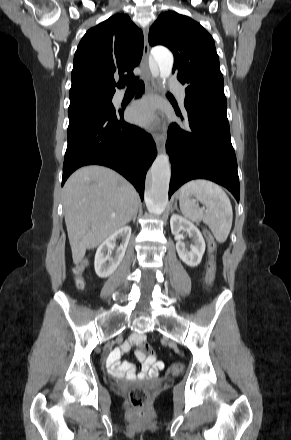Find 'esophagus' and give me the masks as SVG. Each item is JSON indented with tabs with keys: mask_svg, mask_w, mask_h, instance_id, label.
Segmentation results:
<instances>
[{
	"mask_svg": "<svg viewBox=\"0 0 291 440\" xmlns=\"http://www.w3.org/2000/svg\"><path fill=\"white\" fill-rule=\"evenodd\" d=\"M149 42H148V28L144 29V49H143V59H144V69H143V78L144 82L147 86V90L150 93L155 92V85L154 80L151 75L149 64H148V58H149ZM154 140L156 143V148L160 152L164 149L165 144V137L162 132H155L154 133Z\"/></svg>",
	"mask_w": 291,
	"mask_h": 440,
	"instance_id": "1",
	"label": "esophagus"
}]
</instances>
